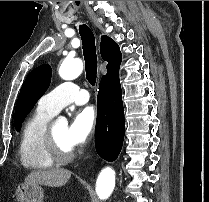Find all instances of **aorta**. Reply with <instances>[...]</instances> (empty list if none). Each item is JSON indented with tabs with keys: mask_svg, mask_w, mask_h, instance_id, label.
Segmentation results:
<instances>
[{
	"mask_svg": "<svg viewBox=\"0 0 209 202\" xmlns=\"http://www.w3.org/2000/svg\"><path fill=\"white\" fill-rule=\"evenodd\" d=\"M83 71V63L80 59H66L59 67L58 73L64 80L77 78ZM65 122V119H61ZM115 187V171L106 167L101 170L96 181V194L101 200L107 199Z\"/></svg>",
	"mask_w": 209,
	"mask_h": 202,
	"instance_id": "762f6f07",
	"label": "aorta"
}]
</instances>
